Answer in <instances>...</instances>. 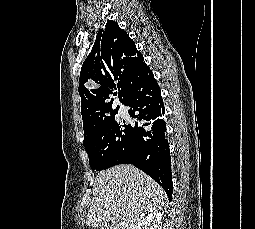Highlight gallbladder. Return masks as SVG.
<instances>
[{
  "instance_id": "1",
  "label": "gallbladder",
  "mask_w": 255,
  "mask_h": 229,
  "mask_svg": "<svg viewBox=\"0 0 255 229\" xmlns=\"http://www.w3.org/2000/svg\"><path fill=\"white\" fill-rule=\"evenodd\" d=\"M101 229H109V227L105 226V227H103V228H101Z\"/></svg>"
}]
</instances>
